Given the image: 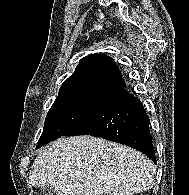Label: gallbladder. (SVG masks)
Masks as SVG:
<instances>
[{"instance_id": "bac80fb5", "label": "gallbladder", "mask_w": 189, "mask_h": 195, "mask_svg": "<svg viewBox=\"0 0 189 195\" xmlns=\"http://www.w3.org/2000/svg\"><path fill=\"white\" fill-rule=\"evenodd\" d=\"M41 192L44 195H54L55 189H54V187H52L50 185H47V186H44V187L41 188Z\"/></svg>"}]
</instances>
